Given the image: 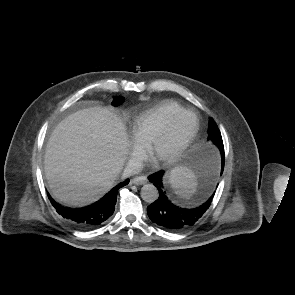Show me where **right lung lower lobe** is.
Segmentation results:
<instances>
[{"instance_id":"1","label":"right lung lower lobe","mask_w":295,"mask_h":295,"mask_svg":"<svg viewBox=\"0 0 295 295\" xmlns=\"http://www.w3.org/2000/svg\"><path fill=\"white\" fill-rule=\"evenodd\" d=\"M129 179L111 189L96 203L80 209H71L57 204L48 194L52 205L58 214L62 215L72 225L81 229H92L102 225L114 212L117 192L127 185Z\"/></svg>"}]
</instances>
